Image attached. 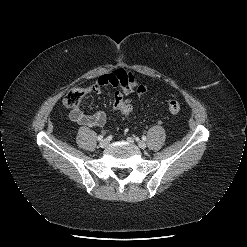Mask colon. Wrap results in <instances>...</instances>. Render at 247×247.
Here are the masks:
<instances>
[{
    "label": "colon",
    "mask_w": 247,
    "mask_h": 247,
    "mask_svg": "<svg viewBox=\"0 0 247 247\" xmlns=\"http://www.w3.org/2000/svg\"><path fill=\"white\" fill-rule=\"evenodd\" d=\"M84 91L82 89H71L64 97L63 103L69 109H78ZM166 109L170 113H178L180 111V103L177 100L175 95H171L165 102ZM113 109L119 111L122 115L128 116L131 113V106L127 104L122 95L119 92H116L113 97Z\"/></svg>",
    "instance_id": "colon-1"
}]
</instances>
